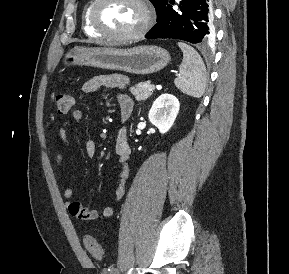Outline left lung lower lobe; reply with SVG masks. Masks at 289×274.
I'll list each match as a JSON object with an SVG mask.
<instances>
[{
  "instance_id": "1",
  "label": "left lung lower lobe",
  "mask_w": 289,
  "mask_h": 274,
  "mask_svg": "<svg viewBox=\"0 0 289 274\" xmlns=\"http://www.w3.org/2000/svg\"><path fill=\"white\" fill-rule=\"evenodd\" d=\"M168 0L157 15V24L146 38H173L190 43L206 44L214 37L210 0H181L175 11Z\"/></svg>"
}]
</instances>
